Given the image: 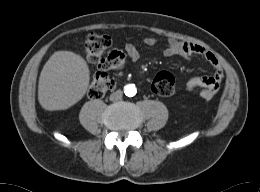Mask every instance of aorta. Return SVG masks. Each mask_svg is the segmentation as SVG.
<instances>
[{
    "mask_svg": "<svg viewBox=\"0 0 260 192\" xmlns=\"http://www.w3.org/2000/svg\"><path fill=\"white\" fill-rule=\"evenodd\" d=\"M137 92V89L134 84H128L124 87V93L128 97H133Z\"/></svg>",
    "mask_w": 260,
    "mask_h": 192,
    "instance_id": "aorta-1",
    "label": "aorta"
}]
</instances>
